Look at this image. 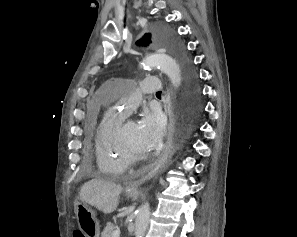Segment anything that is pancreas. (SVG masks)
Masks as SVG:
<instances>
[{
	"mask_svg": "<svg viewBox=\"0 0 297 237\" xmlns=\"http://www.w3.org/2000/svg\"><path fill=\"white\" fill-rule=\"evenodd\" d=\"M114 229H115L114 225L108 222L103 232L101 233V237H112Z\"/></svg>",
	"mask_w": 297,
	"mask_h": 237,
	"instance_id": "1",
	"label": "pancreas"
}]
</instances>
